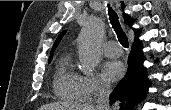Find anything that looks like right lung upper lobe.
<instances>
[{"mask_svg": "<svg viewBox=\"0 0 171 110\" xmlns=\"http://www.w3.org/2000/svg\"><path fill=\"white\" fill-rule=\"evenodd\" d=\"M124 7H125V6L122 4V9H124ZM123 17H124L125 23L128 24L129 26H131V25H132V22H133V21H132V18H131L130 16L126 15V14H123ZM134 32H135V38H138V33H139V31L135 30ZM64 34H65V31L62 32V33L58 36V38L56 39L55 44L53 45L52 50H51V52H50V55H51V56H52L54 50L56 49V47L58 46V44H59V42H60V40H61V38L63 37Z\"/></svg>", "mask_w": 171, "mask_h": 110, "instance_id": "right-lung-upper-lobe-1", "label": "right lung upper lobe"}]
</instances>
